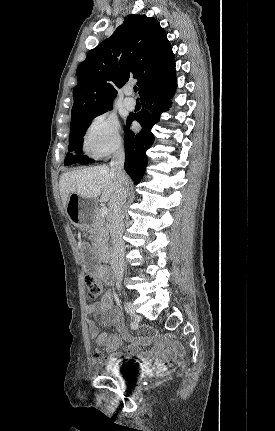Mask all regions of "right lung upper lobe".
I'll list each match as a JSON object with an SVG mask.
<instances>
[{"mask_svg":"<svg viewBox=\"0 0 275 431\" xmlns=\"http://www.w3.org/2000/svg\"><path fill=\"white\" fill-rule=\"evenodd\" d=\"M174 69V54L158 21L146 15L126 16L78 66L71 122L111 108L117 88L128 80H137L142 96Z\"/></svg>","mask_w":275,"mask_h":431,"instance_id":"1","label":"right lung upper lobe"}]
</instances>
